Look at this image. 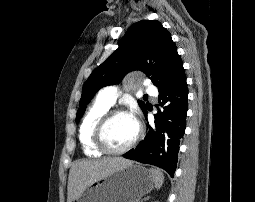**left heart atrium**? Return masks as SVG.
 Here are the masks:
<instances>
[{"instance_id": "left-heart-atrium-1", "label": "left heart atrium", "mask_w": 255, "mask_h": 202, "mask_svg": "<svg viewBox=\"0 0 255 202\" xmlns=\"http://www.w3.org/2000/svg\"><path fill=\"white\" fill-rule=\"evenodd\" d=\"M129 116L138 125V119H137L136 111L132 110L131 113L129 114Z\"/></svg>"}]
</instances>
